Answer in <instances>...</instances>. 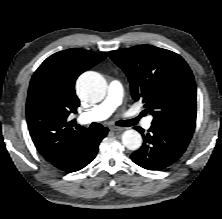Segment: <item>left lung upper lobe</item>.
<instances>
[{
    "label": "left lung upper lobe",
    "mask_w": 222,
    "mask_h": 219,
    "mask_svg": "<svg viewBox=\"0 0 222 219\" xmlns=\"http://www.w3.org/2000/svg\"><path fill=\"white\" fill-rule=\"evenodd\" d=\"M110 58L126 73L134 100L153 115L152 126L192 138L197 113L196 86L184 59L152 45L110 51Z\"/></svg>",
    "instance_id": "5c2ea615"
}]
</instances>
